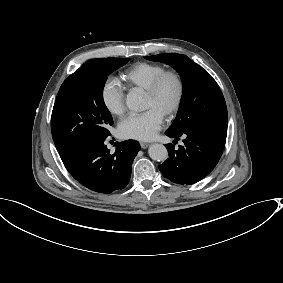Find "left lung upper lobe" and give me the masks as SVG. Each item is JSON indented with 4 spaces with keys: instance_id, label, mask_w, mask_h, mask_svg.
Returning <instances> with one entry per match:
<instances>
[{
    "instance_id": "5c2ea615",
    "label": "left lung upper lobe",
    "mask_w": 283,
    "mask_h": 283,
    "mask_svg": "<svg viewBox=\"0 0 283 283\" xmlns=\"http://www.w3.org/2000/svg\"><path fill=\"white\" fill-rule=\"evenodd\" d=\"M146 59L159 61L177 70L183 82L181 104L168 133H183L196 129L227 128V107L223 94L202 67L183 54H160Z\"/></svg>"
}]
</instances>
